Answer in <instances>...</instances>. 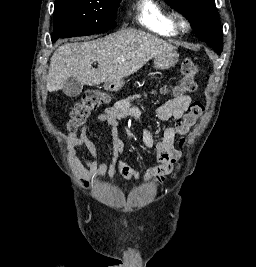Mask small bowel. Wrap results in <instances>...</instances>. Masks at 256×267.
Listing matches in <instances>:
<instances>
[{"label":"small bowel","mask_w":256,"mask_h":267,"mask_svg":"<svg viewBox=\"0 0 256 267\" xmlns=\"http://www.w3.org/2000/svg\"><path fill=\"white\" fill-rule=\"evenodd\" d=\"M141 94H131L118 99L112 106L105 109L97 117L101 125L109 128L112 134L113 157L110 161L99 163L98 148L88 135V127L83 126L78 132L68 137V144L74 148H83L90 157L78 156L75 153L70 154V162L73 171L86 186L92 184L98 178H113L119 173L125 179H139V172L120 158L125 143L119 137L118 121L127 116L134 118L139 117V110L134 105V101L139 99ZM191 104L190 94L183 95L180 98H173L157 108L155 116L158 120L168 123L175 118H183L186 115L188 107ZM176 128L167 124L162 132L161 137L157 140L147 129L141 131V138L146 147L154 149L157 153L159 164L150 168L144 175L143 179L148 182L158 183L172 169L174 163L180 157V151L176 148ZM183 143V140H181ZM84 160L86 167L82 164Z\"/></svg>","instance_id":"1"}]
</instances>
